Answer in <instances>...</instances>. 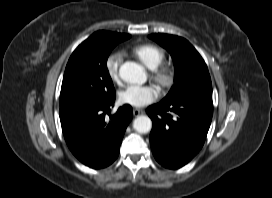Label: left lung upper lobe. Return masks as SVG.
Returning a JSON list of instances; mask_svg holds the SVG:
<instances>
[{"instance_id": "1", "label": "left lung upper lobe", "mask_w": 272, "mask_h": 198, "mask_svg": "<svg viewBox=\"0 0 272 198\" xmlns=\"http://www.w3.org/2000/svg\"><path fill=\"white\" fill-rule=\"evenodd\" d=\"M171 54L175 67V84L162 100L198 97L212 99V84L207 66L197 50L184 38L168 34H151Z\"/></svg>"}]
</instances>
